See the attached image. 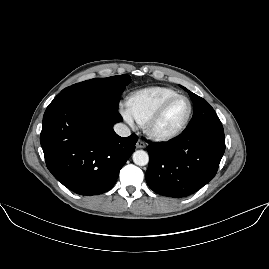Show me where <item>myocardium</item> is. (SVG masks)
<instances>
[{"mask_svg": "<svg viewBox=\"0 0 269 269\" xmlns=\"http://www.w3.org/2000/svg\"><path fill=\"white\" fill-rule=\"evenodd\" d=\"M178 99H185L188 103V111L185 117V120L183 121L182 125L173 133L171 134H159L154 130V126L156 123L161 119V117L164 115L168 107L176 100ZM192 114V103L190 99L184 95H176L173 96L166 101H164L157 109L156 111L147 119L146 123L144 124V130L145 133L154 141L157 142H167L170 140H173L177 137H179L187 128L190 118Z\"/></svg>", "mask_w": 269, "mask_h": 269, "instance_id": "obj_1", "label": "myocardium"}]
</instances>
